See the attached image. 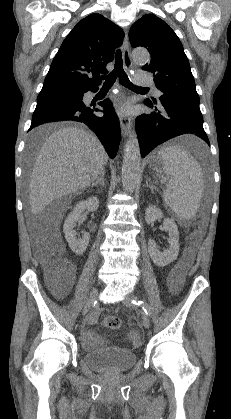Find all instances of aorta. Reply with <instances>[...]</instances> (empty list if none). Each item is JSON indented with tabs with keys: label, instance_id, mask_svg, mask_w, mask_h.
<instances>
[{
	"label": "aorta",
	"instance_id": "1",
	"mask_svg": "<svg viewBox=\"0 0 231 419\" xmlns=\"http://www.w3.org/2000/svg\"><path fill=\"white\" fill-rule=\"evenodd\" d=\"M132 58L136 63L145 64L150 55L146 49H135L132 52ZM140 164L141 153L136 131L130 128L122 164V183L125 190L133 191L136 188L140 177Z\"/></svg>",
	"mask_w": 231,
	"mask_h": 419
}]
</instances>
